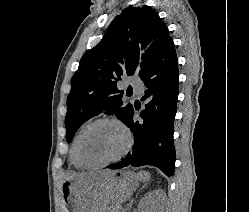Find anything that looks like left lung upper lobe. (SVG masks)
<instances>
[{
  "label": "left lung upper lobe",
  "instance_id": "obj_1",
  "mask_svg": "<svg viewBox=\"0 0 249 212\" xmlns=\"http://www.w3.org/2000/svg\"><path fill=\"white\" fill-rule=\"evenodd\" d=\"M171 41L165 23L148 6L128 7L115 17L100 43L83 55L71 79L67 142L85 121L102 111L123 121L132 104H123L117 81L134 74L142 77Z\"/></svg>",
  "mask_w": 249,
  "mask_h": 212
}]
</instances>
